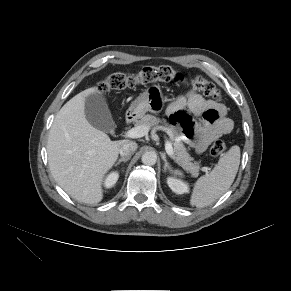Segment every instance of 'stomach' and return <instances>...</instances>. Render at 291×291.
Wrapping results in <instances>:
<instances>
[{"mask_svg":"<svg viewBox=\"0 0 291 291\" xmlns=\"http://www.w3.org/2000/svg\"><path fill=\"white\" fill-rule=\"evenodd\" d=\"M165 98L162 90L157 85H152L144 90L130 105L129 114L141 118L146 112L160 113L164 107Z\"/></svg>","mask_w":291,"mask_h":291,"instance_id":"stomach-1","label":"stomach"}]
</instances>
